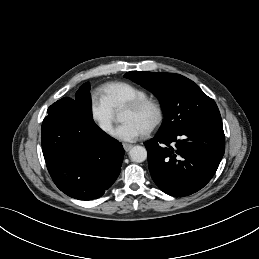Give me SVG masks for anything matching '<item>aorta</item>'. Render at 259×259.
I'll return each mask as SVG.
<instances>
[{
  "label": "aorta",
  "mask_w": 259,
  "mask_h": 259,
  "mask_svg": "<svg viewBox=\"0 0 259 259\" xmlns=\"http://www.w3.org/2000/svg\"><path fill=\"white\" fill-rule=\"evenodd\" d=\"M129 156L133 162L141 163L147 159V150L145 147L137 145L131 148Z\"/></svg>",
  "instance_id": "obj_1"
}]
</instances>
